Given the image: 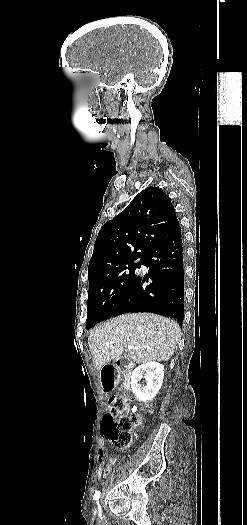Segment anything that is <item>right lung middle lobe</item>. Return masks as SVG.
I'll list each match as a JSON object with an SVG mask.
<instances>
[{"mask_svg":"<svg viewBox=\"0 0 247 525\" xmlns=\"http://www.w3.org/2000/svg\"><path fill=\"white\" fill-rule=\"evenodd\" d=\"M141 261L117 269L88 274L87 329L114 315L116 309L138 277Z\"/></svg>","mask_w":247,"mask_h":525,"instance_id":"right-lung-middle-lobe-1","label":"right lung middle lobe"}]
</instances>
